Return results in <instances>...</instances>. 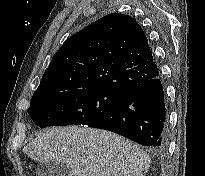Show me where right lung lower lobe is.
<instances>
[{
    "instance_id": "1",
    "label": "right lung lower lobe",
    "mask_w": 205,
    "mask_h": 176,
    "mask_svg": "<svg viewBox=\"0 0 205 176\" xmlns=\"http://www.w3.org/2000/svg\"><path fill=\"white\" fill-rule=\"evenodd\" d=\"M88 126L112 131L164 152L168 145V122L160 76L127 89L104 115Z\"/></svg>"
}]
</instances>
